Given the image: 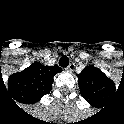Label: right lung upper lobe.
<instances>
[{
  "mask_svg": "<svg viewBox=\"0 0 124 124\" xmlns=\"http://www.w3.org/2000/svg\"><path fill=\"white\" fill-rule=\"evenodd\" d=\"M58 71V67H45L36 63L25 70V73L18 76L22 91L30 93L35 98L48 92L51 87L53 75Z\"/></svg>",
  "mask_w": 124,
  "mask_h": 124,
  "instance_id": "1",
  "label": "right lung upper lobe"
}]
</instances>
